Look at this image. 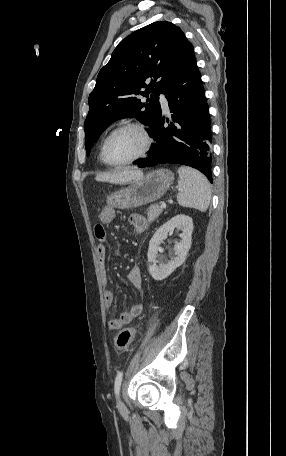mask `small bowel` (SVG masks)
Segmentation results:
<instances>
[{
    "label": "small bowel",
    "instance_id": "obj_1",
    "mask_svg": "<svg viewBox=\"0 0 286 456\" xmlns=\"http://www.w3.org/2000/svg\"><path fill=\"white\" fill-rule=\"evenodd\" d=\"M115 217V210L112 207H105L100 214V220L102 224H109L113 221ZM130 225L133 227L134 231L137 234H142L147 227L146 219L137 213L130 214L128 217ZM95 235L98 240L97 246V256L100 265L101 278L105 286L108 285V271L106 265V255H107V233L103 225L99 224L95 227ZM128 280L130 283L138 288L142 289L143 280L142 272L140 267H134L128 274ZM114 302V293L111 289L106 288L104 291V303L107 307L112 306ZM143 311V305L140 303L134 304L130 307L129 310L122 312L118 317L112 318L108 322V327L110 330H118L124 325L130 323L133 319L141 315Z\"/></svg>",
    "mask_w": 286,
    "mask_h": 456
}]
</instances>
